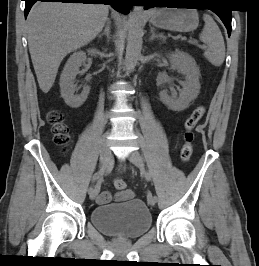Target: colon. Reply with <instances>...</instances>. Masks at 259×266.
<instances>
[{
	"label": "colon",
	"instance_id": "colon-1",
	"mask_svg": "<svg viewBox=\"0 0 259 266\" xmlns=\"http://www.w3.org/2000/svg\"><path fill=\"white\" fill-rule=\"evenodd\" d=\"M204 114H205V107L198 106L185 120L184 123L185 132L183 135L184 143L180 151V158L183 162H188L191 159L193 153V141H194L193 130L200 122ZM47 120L52 127L55 143L61 146L65 151L70 143V135H69V128L64 121L63 114L59 110L52 109L47 114ZM114 186L118 191L126 190V182L121 178H117L114 181Z\"/></svg>",
	"mask_w": 259,
	"mask_h": 266
}]
</instances>
